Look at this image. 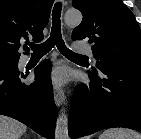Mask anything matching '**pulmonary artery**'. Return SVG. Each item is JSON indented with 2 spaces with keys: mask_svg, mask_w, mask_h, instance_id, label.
Listing matches in <instances>:
<instances>
[{
  "mask_svg": "<svg viewBox=\"0 0 141 139\" xmlns=\"http://www.w3.org/2000/svg\"><path fill=\"white\" fill-rule=\"evenodd\" d=\"M74 49L77 52L92 55V50L88 45L81 44V43H76V44H74Z\"/></svg>",
  "mask_w": 141,
  "mask_h": 139,
  "instance_id": "obj_1",
  "label": "pulmonary artery"
}]
</instances>
